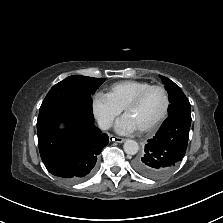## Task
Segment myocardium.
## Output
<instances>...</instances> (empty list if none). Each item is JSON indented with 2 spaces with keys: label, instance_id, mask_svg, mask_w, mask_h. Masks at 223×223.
<instances>
[{
  "label": "myocardium",
  "instance_id": "f54148a6",
  "mask_svg": "<svg viewBox=\"0 0 223 223\" xmlns=\"http://www.w3.org/2000/svg\"><path fill=\"white\" fill-rule=\"evenodd\" d=\"M153 89H159L163 92V94L165 96V107L163 109L162 114L159 116V118L155 122H153L149 126L138 129L139 132H141V133H148V132L154 131L166 119L169 109H170V103H171L170 96H169L167 89L161 85H150V86L146 87L145 89L141 90L123 109L124 113L126 114L130 109L136 107L142 101V99L146 96V94Z\"/></svg>",
  "mask_w": 223,
  "mask_h": 223
}]
</instances>
